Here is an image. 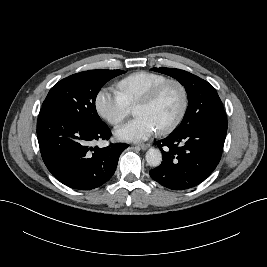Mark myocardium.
I'll return each instance as SVG.
<instances>
[{
	"instance_id": "1",
	"label": "myocardium",
	"mask_w": 267,
	"mask_h": 267,
	"mask_svg": "<svg viewBox=\"0 0 267 267\" xmlns=\"http://www.w3.org/2000/svg\"><path fill=\"white\" fill-rule=\"evenodd\" d=\"M176 85L180 92H181V96H182V104H181V108L180 111L177 115V117L175 118V120L168 125L167 127H164L160 130H158V133L160 135H167L172 133L173 131H175L179 125L181 124V122L183 121L185 114L187 112L188 109V104H189V98H188V92L187 89L185 87V85L180 82L179 80L176 79H167L161 83H159L158 85H156L155 87H153L138 103L137 106L139 105H150L152 103H154L156 101V99L158 98V96L161 94V92L168 86V85Z\"/></svg>"
}]
</instances>
